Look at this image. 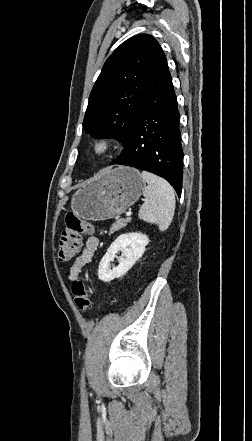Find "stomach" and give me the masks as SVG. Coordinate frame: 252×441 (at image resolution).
I'll use <instances>...</instances> for the list:
<instances>
[{
    "mask_svg": "<svg viewBox=\"0 0 252 441\" xmlns=\"http://www.w3.org/2000/svg\"><path fill=\"white\" fill-rule=\"evenodd\" d=\"M145 181L137 169L119 166L103 171L73 195L71 208L91 221L119 217L141 196Z\"/></svg>",
    "mask_w": 252,
    "mask_h": 441,
    "instance_id": "1",
    "label": "stomach"
}]
</instances>
